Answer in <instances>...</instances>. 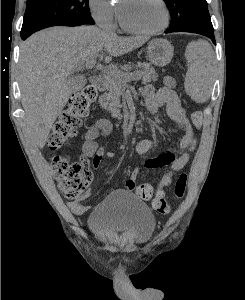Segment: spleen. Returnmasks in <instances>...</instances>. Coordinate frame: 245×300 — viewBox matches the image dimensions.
<instances>
[{
	"label": "spleen",
	"instance_id": "1",
	"mask_svg": "<svg viewBox=\"0 0 245 300\" xmlns=\"http://www.w3.org/2000/svg\"><path fill=\"white\" fill-rule=\"evenodd\" d=\"M189 68L184 88L192 100L203 103L210 95L213 84L214 54L211 45L203 40L192 42L186 49Z\"/></svg>",
	"mask_w": 245,
	"mask_h": 300
}]
</instances>
